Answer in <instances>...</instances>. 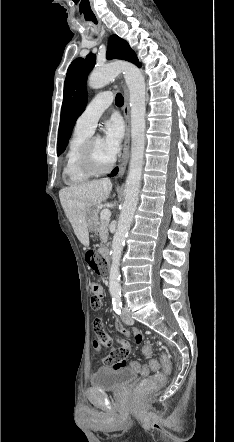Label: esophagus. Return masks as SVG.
Segmentation results:
<instances>
[{"mask_svg":"<svg viewBox=\"0 0 234 442\" xmlns=\"http://www.w3.org/2000/svg\"><path fill=\"white\" fill-rule=\"evenodd\" d=\"M121 86L124 92V105H123V115L125 119V137H124V144H123V151L122 156L118 165V168L115 170L116 178H122L126 166L129 160V147H130V105H129V91L128 88L124 82V80L121 78Z\"/></svg>","mask_w":234,"mask_h":442,"instance_id":"esophagus-1","label":"esophagus"}]
</instances>
